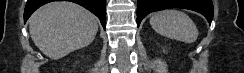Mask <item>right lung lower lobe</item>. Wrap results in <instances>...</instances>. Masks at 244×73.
I'll list each match as a JSON object with an SVG mask.
<instances>
[{
	"mask_svg": "<svg viewBox=\"0 0 244 73\" xmlns=\"http://www.w3.org/2000/svg\"><path fill=\"white\" fill-rule=\"evenodd\" d=\"M51 1H71L85 7L99 18L103 28L105 29L106 0H28L24 11V22L27 21L36 9Z\"/></svg>",
	"mask_w": 244,
	"mask_h": 73,
	"instance_id": "obj_1",
	"label": "right lung lower lobe"
}]
</instances>
